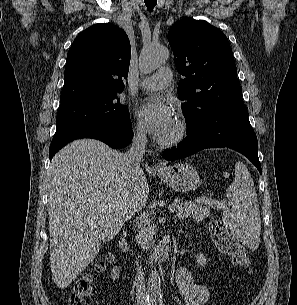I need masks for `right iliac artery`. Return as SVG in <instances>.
<instances>
[{
    "mask_svg": "<svg viewBox=\"0 0 297 305\" xmlns=\"http://www.w3.org/2000/svg\"><path fill=\"white\" fill-rule=\"evenodd\" d=\"M153 301L154 299L152 297H148L146 305H152Z\"/></svg>",
    "mask_w": 297,
    "mask_h": 305,
    "instance_id": "1",
    "label": "right iliac artery"
}]
</instances>
